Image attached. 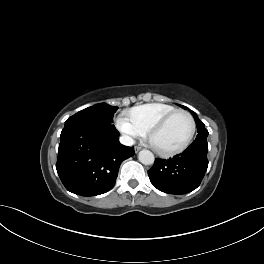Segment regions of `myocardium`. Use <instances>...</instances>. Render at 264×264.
Here are the masks:
<instances>
[{"label": "myocardium", "mask_w": 264, "mask_h": 264, "mask_svg": "<svg viewBox=\"0 0 264 264\" xmlns=\"http://www.w3.org/2000/svg\"><path fill=\"white\" fill-rule=\"evenodd\" d=\"M179 114L186 115L191 122V132H190L187 140L181 146L170 149V150L158 149L157 147L154 146V144L152 142L153 136L156 133H158L160 130H162L173 117H175L176 115H179ZM195 134H196V121H195L193 115L186 110L176 109V110L170 112L169 114L165 115L155 125H153L147 133V138H148L149 143L151 144L152 148L154 149V151L156 153H158L159 155L164 156V157H169V156H174V155H177V154L185 151L191 145V143L195 137Z\"/></svg>", "instance_id": "myocardium-1"}]
</instances>
